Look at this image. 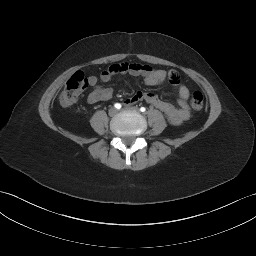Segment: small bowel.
Returning a JSON list of instances; mask_svg holds the SVG:
<instances>
[{"mask_svg": "<svg viewBox=\"0 0 256 256\" xmlns=\"http://www.w3.org/2000/svg\"><path fill=\"white\" fill-rule=\"evenodd\" d=\"M120 73L141 76L144 83L148 86L160 85L165 81H169V83L176 87L178 91V106L164 101L156 94L150 92H136L132 96L125 98L124 104L126 106H131L138 102H146L162 111L173 124H180L189 117L187 101L190 92L189 89L182 84L180 76L176 70L165 71L152 68L147 64L136 62L117 63L103 70L99 75V79L102 82H109L113 76ZM88 82L89 85L93 87V90L87 96V102L89 104H95L99 101H108L113 97V89L98 85V78L96 76H89Z\"/></svg>", "mask_w": 256, "mask_h": 256, "instance_id": "1", "label": "small bowel"}]
</instances>
